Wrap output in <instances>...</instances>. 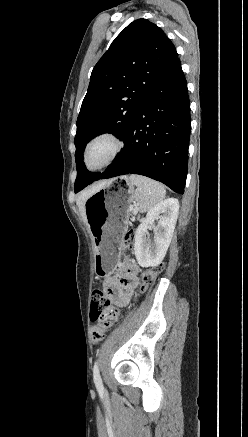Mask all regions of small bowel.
I'll use <instances>...</instances> for the list:
<instances>
[{
  "instance_id": "1",
  "label": "small bowel",
  "mask_w": 248,
  "mask_h": 437,
  "mask_svg": "<svg viewBox=\"0 0 248 437\" xmlns=\"http://www.w3.org/2000/svg\"><path fill=\"white\" fill-rule=\"evenodd\" d=\"M139 267L132 260H126L119 267L118 273L114 277L107 278L103 283V288L113 303L118 308L129 305L131 298L138 286ZM112 312V316L115 315Z\"/></svg>"
}]
</instances>
